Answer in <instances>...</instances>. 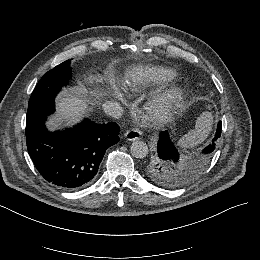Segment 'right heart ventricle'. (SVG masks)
I'll list each match as a JSON object with an SVG mask.
<instances>
[{"mask_svg":"<svg viewBox=\"0 0 260 260\" xmlns=\"http://www.w3.org/2000/svg\"><path fill=\"white\" fill-rule=\"evenodd\" d=\"M178 74L164 66H143L130 79L124 80L121 84L124 91L130 95L155 89L159 86L169 84L176 80Z\"/></svg>","mask_w":260,"mask_h":260,"instance_id":"obj_1","label":"right heart ventricle"}]
</instances>
